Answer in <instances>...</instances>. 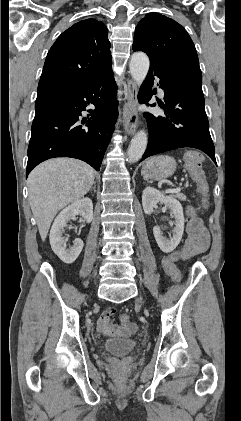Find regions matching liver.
<instances>
[{"label": "liver", "mask_w": 241, "mask_h": 421, "mask_svg": "<svg viewBox=\"0 0 241 421\" xmlns=\"http://www.w3.org/2000/svg\"><path fill=\"white\" fill-rule=\"evenodd\" d=\"M93 183V169L72 158L47 160L30 173L29 203L43 241L56 214L83 197Z\"/></svg>", "instance_id": "6515ba94"}]
</instances>
